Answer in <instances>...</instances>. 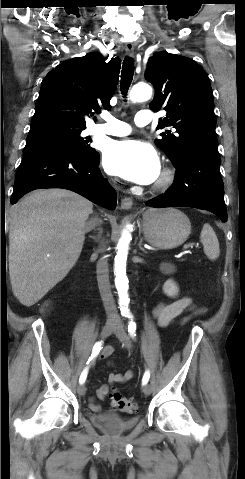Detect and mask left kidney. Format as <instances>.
Listing matches in <instances>:
<instances>
[{"instance_id": "left-kidney-1", "label": "left kidney", "mask_w": 245, "mask_h": 479, "mask_svg": "<svg viewBox=\"0 0 245 479\" xmlns=\"http://www.w3.org/2000/svg\"><path fill=\"white\" fill-rule=\"evenodd\" d=\"M160 270L164 274H171L175 271V266L170 263H163L160 265ZM163 292L169 297L178 295L179 289L173 280H167L163 285Z\"/></svg>"}]
</instances>
